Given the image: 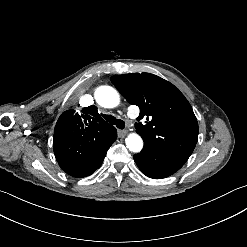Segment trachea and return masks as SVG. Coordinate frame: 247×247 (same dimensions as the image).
<instances>
[{"mask_svg":"<svg viewBox=\"0 0 247 247\" xmlns=\"http://www.w3.org/2000/svg\"><path fill=\"white\" fill-rule=\"evenodd\" d=\"M103 117L105 120H107L109 123L116 125L118 128L120 129H124L125 128V122L121 119H116L114 116L112 115H107V114H103Z\"/></svg>","mask_w":247,"mask_h":247,"instance_id":"3493384b","label":"trachea"}]
</instances>
